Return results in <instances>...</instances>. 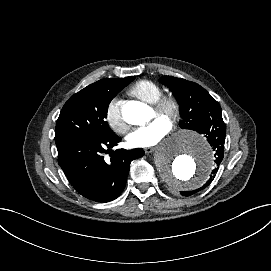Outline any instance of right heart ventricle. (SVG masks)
Listing matches in <instances>:
<instances>
[{
    "instance_id": "1",
    "label": "right heart ventricle",
    "mask_w": 271,
    "mask_h": 271,
    "mask_svg": "<svg viewBox=\"0 0 271 271\" xmlns=\"http://www.w3.org/2000/svg\"><path fill=\"white\" fill-rule=\"evenodd\" d=\"M130 93L145 102L154 104L163 95V90L155 81L143 79L131 86Z\"/></svg>"
}]
</instances>
